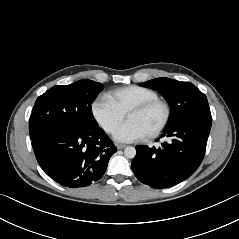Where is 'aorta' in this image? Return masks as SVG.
<instances>
[{
	"label": "aorta",
	"instance_id": "aorta-1",
	"mask_svg": "<svg viewBox=\"0 0 239 239\" xmlns=\"http://www.w3.org/2000/svg\"><path fill=\"white\" fill-rule=\"evenodd\" d=\"M124 155L127 158L133 159L136 156V149H135V147L127 146L124 149Z\"/></svg>",
	"mask_w": 239,
	"mask_h": 239
}]
</instances>
